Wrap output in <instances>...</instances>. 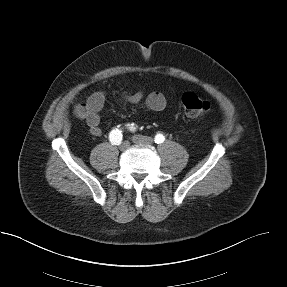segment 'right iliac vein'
I'll return each instance as SVG.
<instances>
[{
	"label": "right iliac vein",
	"instance_id": "1",
	"mask_svg": "<svg viewBox=\"0 0 287 287\" xmlns=\"http://www.w3.org/2000/svg\"><path fill=\"white\" fill-rule=\"evenodd\" d=\"M128 147H129V142L125 141V142H123V143L119 146V149H120L121 151H124V150H126Z\"/></svg>",
	"mask_w": 287,
	"mask_h": 287
}]
</instances>
